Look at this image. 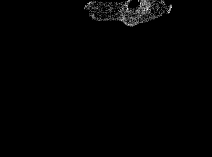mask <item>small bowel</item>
<instances>
[{
	"label": "small bowel",
	"instance_id": "1",
	"mask_svg": "<svg viewBox=\"0 0 212 157\" xmlns=\"http://www.w3.org/2000/svg\"><path fill=\"white\" fill-rule=\"evenodd\" d=\"M138 2L137 1H131L130 3H127V7L128 8H136L138 6Z\"/></svg>",
	"mask_w": 212,
	"mask_h": 157
}]
</instances>
